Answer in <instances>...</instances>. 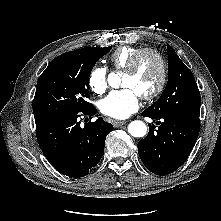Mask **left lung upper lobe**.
Wrapping results in <instances>:
<instances>
[{"mask_svg": "<svg viewBox=\"0 0 221 221\" xmlns=\"http://www.w3.org/2000/svg\"><path fill=\"white\" fill-rule=\"evenodd\" d=\"M169 78L158 101L145 111L154 117H198L201 97L195 78L176 52L168 45Z\"/></svg>", "mask_w": 221, "mask_h": 221, "instance_id": "left-lung-upper-lobe-1", "label": "left lung upper lobe"}]
</instances>
